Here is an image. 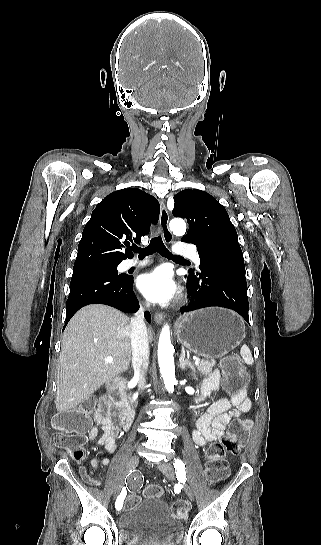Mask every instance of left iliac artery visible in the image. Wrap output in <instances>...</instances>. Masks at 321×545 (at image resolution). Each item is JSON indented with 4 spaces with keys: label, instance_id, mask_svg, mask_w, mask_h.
<instances>
[{
    "label": "left iliac artery",
    "instance_id": "obj_1",
    "mask_svg": "<svg viewBox=\"0 0 321 545\" xmlns=\"http://www.w3.org/2000/svg\"><path fill=\"white\" fill-rule=\"evenodd\" d=\"M173 465H174V468H175V470H176L177 478H178L180 481H185V479H186V472H185V465H184V463H183L180 459H175Z\"/></svg>",
    "mask_w": 321,
    "mask_h": 545
}]
</instances>
